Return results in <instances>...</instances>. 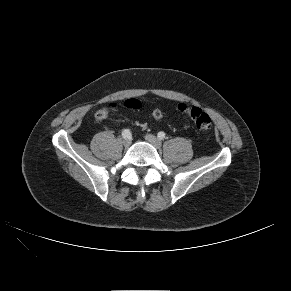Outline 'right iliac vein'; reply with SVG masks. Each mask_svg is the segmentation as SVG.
I'll return each mask as SVG.
<instances>
[{"label":"right iliac vein","mask_w":291,"mask_h":291,"mask_svg":"<svg viewBox=\"0 0 291 291\" xmlns=\"http://www.w3.org/2000/svg\"><path fill=\"white\" fill-rule=\"evenodd\" d=\"M130 144H131V139L130 138H126V139L123 140V145L125 147H129Z\"/></svg>","instance_id":"obj_1"}]
</instances>
